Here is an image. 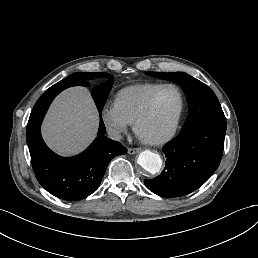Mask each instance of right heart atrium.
I'll list each match as a JSON object with an SVG mask.
<instances>
[{
    "label": "right heart atrium",
    "instance_id": "right-heart-atrium-1",
    "mask_svg": "<svg viewBox=\"0 0 258 258\" xmlns=\"http://www.w3.org/2000/svg\"><path fill=\"white\" fill-rule=\"evenodd\" d=\"M101 118L106 128L112 132H124L129 125L114 103L107 105L103 109Z\"/></svg>",
    "mask_w": 258,
    "mask_h": 258
}]
</instances>
